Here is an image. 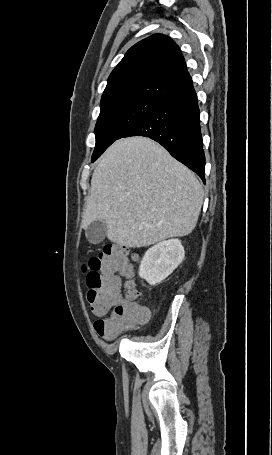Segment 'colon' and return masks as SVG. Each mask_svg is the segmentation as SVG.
<instances>
[{"label": "colon", "mask_w": 272, "mask_h": 455, "mask_svg": "<svg viewBox=\"0 0 272 455\" xmlns=\"http://www.w3.org/2000/svg\"><path fill=\"white\" fill-rule=\"evenodd\" d=\"M82 270L89 307L92 313L102 316L94 323L100 337L114 339L147 318V310L137 302L138 292L130 281L126 295H121L122 278L132 277V258L126 247L106 244L85 262Z\"/></svg>", "instance_id": "1"}]
</instances>
